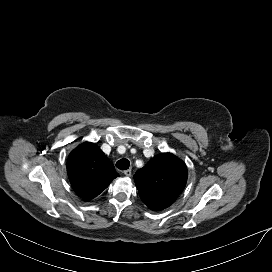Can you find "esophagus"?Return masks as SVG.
I'll return each mask as SVG.
<instances>
[{
  "mask_svg": "<svg viewBox=\"0 0 272 272\" xmlns=\"http://www.w3.org/2000/svg\"><path fill=\"white\" fill-rule=\"evenodd\" d=\"M131 169H127L124 171V175L127 176V177H130L131 176Z\"/></svg>",
  "mask_w": 272,
  "mask_h": 272,
  "instance_id": "obj_1",
  "label": "esophagus"
}]
</instances>
